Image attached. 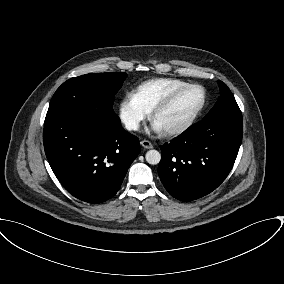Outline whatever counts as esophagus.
<instances>
[{
    "mask_svg": "<svg viewBox=\"0 0 284 284\" xmlns=\"http://www.w3.org/2000/svg\"><path fill=\"white\" fill-rule=\"evenodd\" d=\"M141 146L144 147L145 149H151L153 148V144L148 141V140H143L140 142Z\"/></svg>",
    "mask_w": 284,
    "mask_h": 284,
    "instance_id": "1",
    "label": "esophagus"
}]
</instances>
